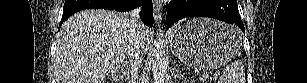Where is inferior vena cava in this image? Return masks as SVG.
Masks as SVG:
<instances>
[{
  "label": "inferior vena cava",
  "mask_w": 307,
  "mask_h": 83,
  "mask_svg": "<svg viewBox=\"0 0 307 83\" xmlns=\"http://www.w3.org/2000/svg\"><path fill=\"white\" fill-rule=\"evenodd\" d=\"M140 9L132 10L128 15L130 18L131 34L127 45V56L131 65V76L133 79L137 78L138 70L142 66V52H141V36L140 28L144 25L139 20Z\"/></svg>",
  "instance_id": "1"
}]
</instances>
